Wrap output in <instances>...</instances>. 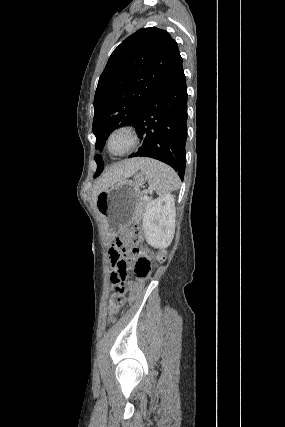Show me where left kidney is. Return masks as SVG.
Listing matches in <instances>:
<instances>
[{"label":"left kidney","mask_w":285,"mask_h":427,"mask_svg":"<svg viewBox=\"0 0 285 427\" xmlns=\"http://www.w3.org/2000/svg\"><path fill=\"white\" fill-rule=\"evenodd\" d=\"M175 202L170 194L152 200L144 213L143 229L147 243L156 249L167 248L175 233Z\"/></svg>","instance_id":"left-kidney-1"}]
</instances>
